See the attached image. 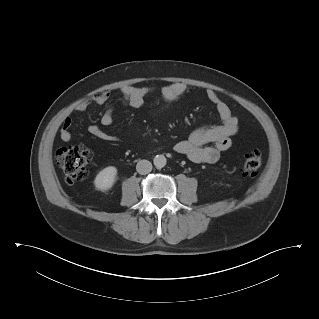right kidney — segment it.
I'll return each instance as SVG.
<instances>
[{
	"instance_id": "obj_1",
	"label": "right kidney",
	"mask_w": 319,
	"mask_h": 319,
	"mask_svg": "<svg viewBox=\"0 0 319 319\" xmlns=\"http://www.w3.org/2000/svg\"><path fill=\"white\" fill-rule=\"evenodd\" d=\"M117 175V169L114 166H108L101 170L94 180V185L97 189L101 191H106L110 189Z\"/></svg>"
}]
</instances>
